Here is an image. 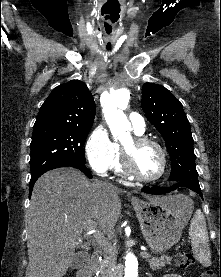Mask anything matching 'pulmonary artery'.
Segmentation results:
<instances>
[{"label":"pulmonary artery","instance_id":"obj_1","mask_svg":"<svg viewBox=\"0 0 221 277\" xmlns=\"http://www.w3.org/2000/svg\"><path fill=\"white\" fill-rule=\"evenodd\" d=\"M129 120L135 132L144 133L145 121L140 114L135 112L130 113Z\"/></svg>","mask_w":221,"mask_h":277}]
</instances>
